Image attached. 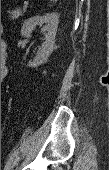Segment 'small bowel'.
Wrapping results in <instances>:
<instances>
[{
    "label": "small bowel",
    "mask_w": 109,
    "mask_h": 170,
    "mask_svg": "<svg viewBox=\"0 0 109 170\" xmlns=\"http://www.w3.org/2000/svg\"><path fill=\"white\" fill-rule=\"evenodd\" d=\"M1 45H2V47H4V48L6 47V43H5L4 41L1 42ZM5 76H6V70L4 71V73L1 74V78L4 79Z\"/></svg>",
    "instance_id": "1"
}]
</instances>
